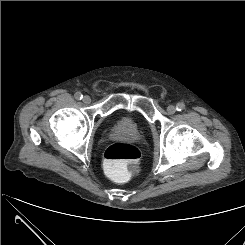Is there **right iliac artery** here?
Here are the masks:
<instances>
[{
  "instance_id": "1",
  "label": "right iliac artery",
  "mask_w": 245,
  "mask_h": 245,
  "mask_svg": "<svg viewBox=\"0 0 245 245\" xmlns=\"http://www.w3.org/2000/svg\"><path fill=\"white\" fill-rule=\"evenodd\" d=\"M75 98H76L77 100H81V99L83 98V95H82L80 92H77V93L75 94Z\"/></svg>"
}]
</instances>
